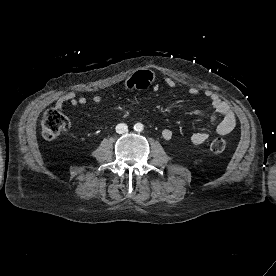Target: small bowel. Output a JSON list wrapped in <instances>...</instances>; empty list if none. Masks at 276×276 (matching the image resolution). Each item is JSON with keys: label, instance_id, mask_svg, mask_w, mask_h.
<instances>
[{"label": "small bowel", "instance_id": "small-bowel-1", "mask_svg": "<svg viewBox=\"0 0 276 276\" xmlns=\"http://www.w3.org/2000/svg\"><path fill=\"white\" fill-rule=\"evenodd\" d=\"M163 82L169 88H175L177 85V82L168 76L163 77ZM156 85V73L151 70L143 69L137 71L126 81L125 88L128 90H144ZM187 93L191 96H196L200 93V89L197 87H189ZM204 95L210 100L211 105L214 109L212 119H216L217 117L222 118L216 127L217 134L227 135L232 132L236 126V117L231 106L218 94L211 90H205ZM101 100L102 99L99 95H95L92 98V101L94 103H100ZM86 103L87 99L85 97L77 96L74 92H66L64 94H61L57 98L55 106L57 109L61 110L65 104H70L72 106H82ZM189 114L193 116H201L203 115V111L193 110ZM162 137L167 141L171 140L173 137V133L170 129H164L162 131ZM208 137V134L205 132H197L191 135L190 141L193 144L199 145L204 143L208 139Z\"/></svg>", "mask_w": 276, "mask_h": 276}]
</instances>
